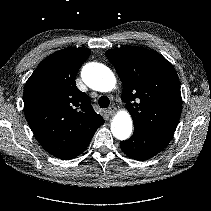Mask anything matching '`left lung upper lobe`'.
Wrapping results in <instances>:
<instances>
[{"instance_id": "left-lung-upper-lobe-1", "label": "left lung upper lobe", "mask_w": 211, "mask_h": 211, "mask_svg": "<svg viewBox=\"0 0 211 211\" xmlns=\"http://www.w3.org/2000/svg\"><path fill=\"white\" fill-rule=\"evenodd\" d=\"M106 56L123 83L122 100L134 129L173 133L182 109L180 82L175 68L148 49L127 46Z\"/></svg>"}]
</instances>
